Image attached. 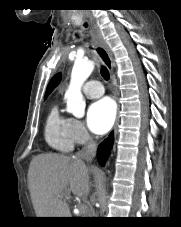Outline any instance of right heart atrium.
I'll use <instances>...</instances> for the list:
<instances>
[{"label": "right heart atrium", "mask_w": 181, "mask_h": 227, "mask_svg": "<svg viewBox=\"0 0 181 227\" xmlns=\"http://www.w3.org/2000/svg\"><path fill=\"white\" fill-rule=\"evenodd\" d=\"M69 134L74 144L86 145L91 141V136L84 124L75 118L69 120Z\"/></svg>", "instance_id": "d8ad5b80"}]
</instances>
